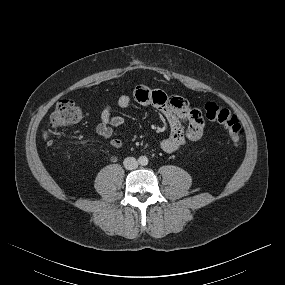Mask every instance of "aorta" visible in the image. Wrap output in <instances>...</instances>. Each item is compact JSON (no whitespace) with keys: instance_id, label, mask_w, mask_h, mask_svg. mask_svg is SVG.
Listing matches in <instances>:
<instances>
[{"instance_id":"aorta-1","label":"aorta","mask_w":285,"mask_h":285,"mask_svg":"<svg viewBox=\"0 0 285 285\" xmlns=\"http://www.w3.org/2000/svg\"><path fill=\"white\" fill-rule=\"evenodd\" d=\"M139 163H140L141 165H147V164H148V158H147L146 156H141V157L139 158Z\"/></svg>"}]
</instances>
